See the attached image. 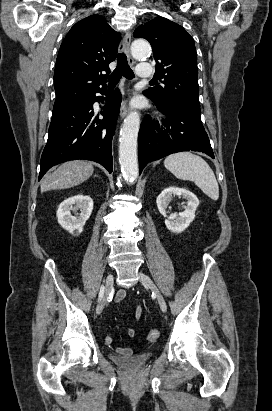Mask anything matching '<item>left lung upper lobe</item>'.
I'll return each mask as SVG.
<instances>
[{
	"label": "left lung upper lobe",
	"mask_w": 272,
	"mask_h": 411,
	"mask_svg": "<svg viewBox=\"0 0 272 411\" xmlns=\"http://www.w3.org/2000/svg\"><path fill=\"white\" fill-rule=\"evenodd\" d=\"M134 37L151 43L155 74L162 86L144 93L152 101L200 114L197 57L192 37L180 25L163 17L139 26Z\"/></svg>",
	"instance_id": "5c2ea615"
}]
</instances>
